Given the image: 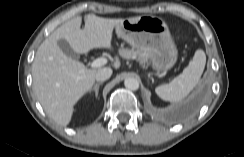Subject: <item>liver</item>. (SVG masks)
I'll return each mask as SVG.
<instances>
[{
    "label": "liver",
    "instance_id": "obj_1",
    "mask_svg": "<svg viewBox=\"0 0 244 157\" xmlns=\"http://www.w3.org/2000/svg\"><path fill=\"white\" fill-rule=\"evenodd\" d=\"M124 19H108L88 14L75 17L57 28L39 46L33 64V89L46 114L58 125L67 126L75 104L91 90L97 70L85 67L64 54L58 41L64 39L79 54L91 49L112 50L113 31ZM120 62L113 63L118 69Z\"/></svg>",
    "mask_w": 244,
    "mask_h": 157
}]
</instances>
